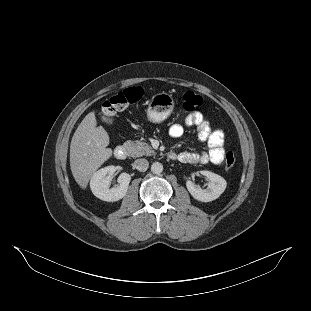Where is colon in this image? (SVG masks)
Wrapping results in <instances>:
<instances>
[{
  "instance_id": "5ec220e1",
  "label": "colon",
  "mask_w": 311,
  "mask_h": 311,
  "mask_svg": "<svg viewBox=\"0 0 311 311\" xmlns=\"http://www.w3.org/2000/svg\"><path fill=\"white\" fill-rule=\"evenodd\" d=\"M142 97V92L139 88H128L117 95L111 97L103 104L102 113L105 117H111L127 110L131 105L136 104ZM203 104V99L200 95L193 91H185L182 95V109L187 112H193ZM236 162L235 155L232 152H227L224 157V165L227 170L234 167Z\"/></svg>"
}]
</instances>
